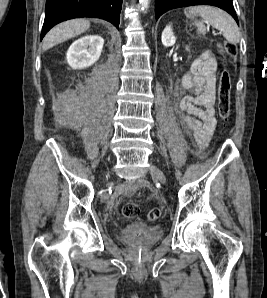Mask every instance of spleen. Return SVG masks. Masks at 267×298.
I'll return each mask as SVG.
<instances>
[{"instance_id":"obj_1","label":"spleen","mask_w":267,"mask_h":298,"mask_svg":"<svg viewBox=\"0 0 267 298\" xmlns=\"http://www.w3.org/2000/svg\"><path fill=\"white\" fill-rule=\"evenodd\" d=\"M193 15H199L203 18L202 22L195 23L198 33L205 34L206 27L204 23H209L215 29L222 32L224 38L233 44L240 41V32L234 19L225 11L207 5L193 6L189 8Z\"/></svg>"}]
</instances>
